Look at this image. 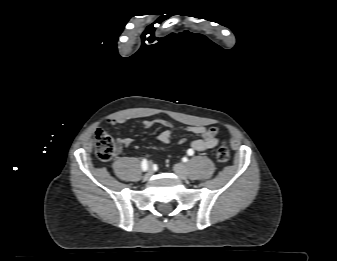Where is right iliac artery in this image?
Instances as JSON below:
<instances>
[{
	"instance_id": "1",
	"label": "right iliac artery",
	"mask_w": 337,
	"mask_h": 261,
	"mask_svg": "<svg viewBox=\"0 0 337 261\" xmlns=\"http://www.w3.org/2000/svg\"><path fill=\"white\" fill-rule=\"evenodd\" d=\"M141 168L143 171H146L148 169V163L146 159H143V161L141 162Z\"/></svg>"
}]
</instances>
